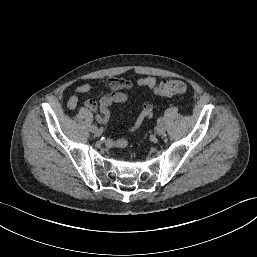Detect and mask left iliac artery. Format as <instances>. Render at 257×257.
<instances>
[{
	"label": "left iliac artery",
	"mask_w": 257,
	"mask_h": 257,
	"mask_svg": "<svg viewBox=\"0 0 257 257\" xmlns=\"http://www.w3.org/2000/svg\"><path fill=\"white\" fill-rule=\"evenodd\" d=\"M157 123H158L159 125L163 124V118H162V117H159V118L157 119Z\"/></svg>",
	"instance_id": "1"
}]
</instances>
